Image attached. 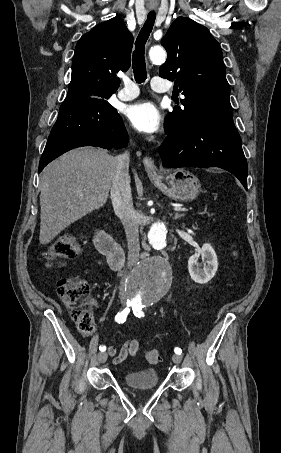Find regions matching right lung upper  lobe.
<instances>
[{
    "label": "right lung upper lobe",
    "mask_w": 281,
    "mask_h": 453,
    "mask_svg": "<svg viewBox=\"0 0 281 453\" xmlns=\"http://www.w3.org/2000/svg\"><path fill=\"white\" fill-rule=\"evenodd\" d=\"M133 36L122 19L98 24L78 41L65 100L103 101L119 87V71L130 67Z\"/></svg>",
    "instance_id": "obj_1"
}]
</instances>
